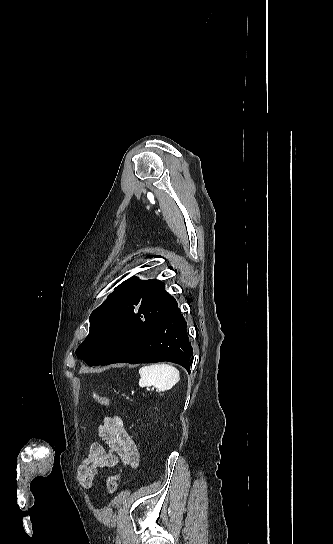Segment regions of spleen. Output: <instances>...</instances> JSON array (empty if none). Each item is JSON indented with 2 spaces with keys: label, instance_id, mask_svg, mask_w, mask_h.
<instances>
[{
  "label": "spleen",
  "instance_id": "obj_1",
  "mask_svg": "<svg viewBox=\"0 0 333 544\" xmlns=\"http://www.w3.org/2000/svg\"><path fill=\"white\" fill-rule=\"evenodd\" d=\"M139 386H154L158 391L171 389L180 380L179 371L169 364L143 366L139 370Z\"/></svg>",
  "mask_w": 333,
  "mask_h": 544
}]
</instances>
